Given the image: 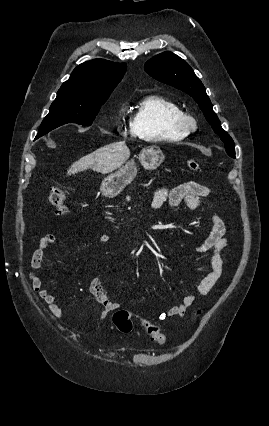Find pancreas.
Returning a JSON list of instances; mask_svg holds the SVG:
<instances>
[{"instance_id":"1","label":"pancreas","mask_w":269,"mask_h":426,"mask_svg":"<svg viewBox=\"0 0 269 426\" xmlns=\"http://www.w3.org/2000/svg\"><path fill=\"white\" fill-rule=\"evenodd\" d=\"M127 200H130V197L129 196H127V198H126Z\"/></svg>"}]
</instances>
